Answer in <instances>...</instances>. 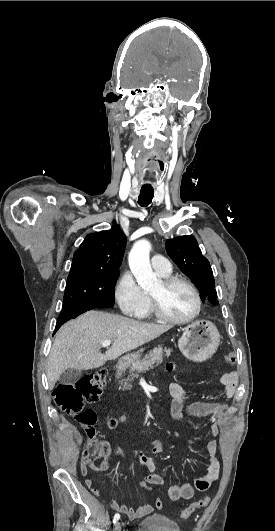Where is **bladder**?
<instances>
[{"instance_id": "bladder-1", "label": "bladder", "mask_w": 275, "mask_h": 531, "mask_svg": "<svg viewBox=\"0 0 275 531\" xmlns=\"http://www.w3.org/2000/svg\"><path fill=\"white\" fill-rule=\"evenodd\" d=\"M135 531H180L179 523L163 513H153L138 523Z\"/></svg>"}]
</instances>
